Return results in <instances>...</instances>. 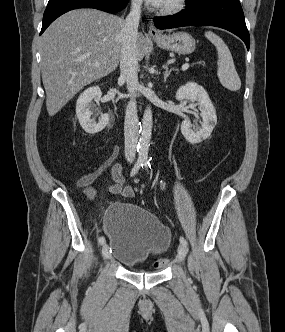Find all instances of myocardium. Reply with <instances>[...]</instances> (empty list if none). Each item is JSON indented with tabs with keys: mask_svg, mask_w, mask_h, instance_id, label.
<instances>
[{
	"mask_svg": "<svg viewBox=\"0 0 285 332\" xmlns=\"http://www.w3.org/2000/svg\"><path fill=\"white\" fill-rule=\"evenodd\" d=\"M187 0H174L160 9L162 15H174L179 13L186 6Z\"/></svg>",
	"mask_w": 285,
	"mask_h": 332,
	"instance_id": "f54148a6",
	"label": "myocardium"
}]
</instances>
